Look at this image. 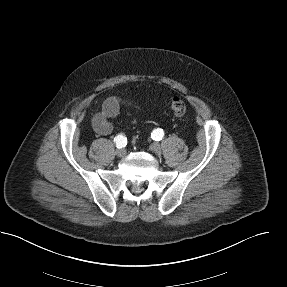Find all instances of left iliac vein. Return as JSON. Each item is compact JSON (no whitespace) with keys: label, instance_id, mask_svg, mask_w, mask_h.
I'll use <instances>...</instances> for the list:
<instances>
[{"label":"left iliac vein","instance_id":"obj_1","mask_svg":"<svg viewBox=\"0 0 287 287\" xmlns=\"http://www.w3.org/2000/svg\"><path fill=\"white\" fill-rule=\"evenodd\" d=\"M151 150L157 155L161 154V147H160V145L158 143H153L151 145Z\"/></svg>","mask_w":287,"mask_h":287}]
</instances>
